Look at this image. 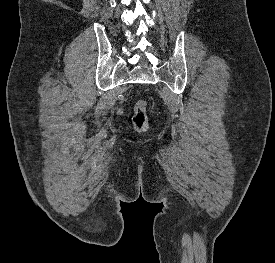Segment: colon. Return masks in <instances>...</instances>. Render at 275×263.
<instances>
[{
    "mask_svg": "<svg viewBox=\"0 0 275 263\" xmlns=\"http://www.w3.org/2000/svg\"><path fill=\"white\" fill-rule=\"evenodd\" d=\"M148 104L144 99H138L134 105L132 123L136 131L146 132L149 128Z\"/></svg>",
    "mask_w": 275,
    "mask_h": 263,
    "instance_id": "obj_1",
    "label": "colon"
}]
</instances>
